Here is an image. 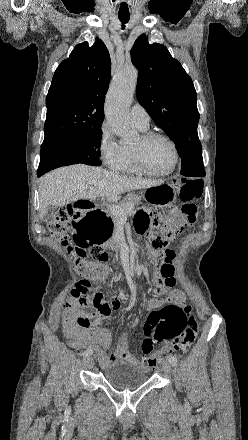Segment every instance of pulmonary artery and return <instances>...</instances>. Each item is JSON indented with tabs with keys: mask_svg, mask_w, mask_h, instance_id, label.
Segmentation results:
<instances>
[{
	"mask_svg": "<svg viewBox=\"0 0 248 440\" xmlns=\"http://www.w3.org/2000/svg\"><path fill=\"white\" fill-rule=\"evenodd\" d=\"M131 117L136 126L147 128L150 122V116L145 108L139 103H135L131 108Z\"/></svg>",
	"mask_w": 248,
	"mask_h": 440,
	"instance_id": "e3ab8cb5",
	"label": "pulmonary artery"
}]
</instances>
